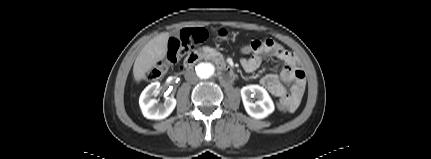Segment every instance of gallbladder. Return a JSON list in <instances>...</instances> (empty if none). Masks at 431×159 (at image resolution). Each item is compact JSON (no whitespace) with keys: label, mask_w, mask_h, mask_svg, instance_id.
Instances as JSON below:
<instances>
[{"label":"gallbladder","mask_w":431,"mask_h":159,"mask_svg":"<svg viewBox=\"0 0 431 159\" xmlns=\"http://www.w3.org/2000/svg\"><path fill=\"white\" fill-rule=\"evenodd\" d=\"M172 36H173L174 38H176V39H179V38H180V33H179L178 31H174V32L172 33Z\"/></svg>","instance_id":"1"}]
</instances>
